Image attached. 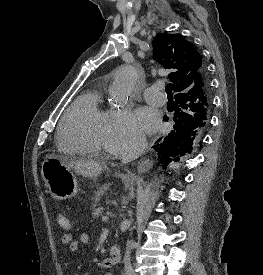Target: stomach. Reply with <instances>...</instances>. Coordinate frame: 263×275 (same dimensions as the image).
Here are the masks:
<instances>
[{
    "label": "stomach",
    "mask_w": 263,
    "mask_h": 275,
    "mask_svg": "<svg viewBox=\"0 0 263 275\" xmlns=\"http://www.w3.org/2000/svg\"><path fill=\"white\" fill-rule=\"evenodd\" d=\"M41 173L51 196L56 200H66L77 194V178L61 159L47 156Z\"/></svg>",
    "instance_id": "obj_1"
}]
</instances>
